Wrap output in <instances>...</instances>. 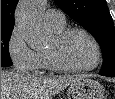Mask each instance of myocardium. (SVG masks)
<instances>
[{
  "instance_id": "myocardium-1",
  "label": "myocardium",
  "mask_w": 115,
  "mask_h": 99,
  "mask_svg": "<svg viewBox=\"0 0 115 99\" xmlns=\"http://www.w3.org/2000/svg\"><path fill=\"white\" fill-rule=\"evenodd\" d=\"M73 33H80L84 35L92 44L94 48V61L92 64L84 67H71L62 64L56 57L54 51L52 50H46L45 54L49 63L50 68H52L55 71L59 72H66V73H85L94 70L95 68L98 67L101 61V48L96 40V38L86 29L80 28V27H70V28H65L61 30L60 32L56 33L54 36V40L56 44L61 43L63 40H65L69 35Z\"/></svg>"
}]
</instances>
